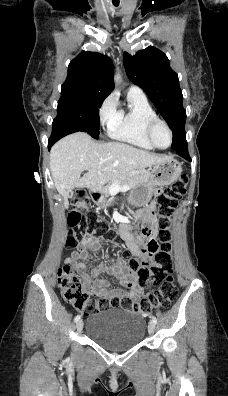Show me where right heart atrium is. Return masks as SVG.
Wrapping results in <instances>:
<instances>
[{"label": "right heart atrium", "instance_id": "obj_1", "mask_svg": "<svg viewBox=\"0 0 228 396\" xmlns=\"http://www.w3.org/2000/svg\"><path fill=\"white\" fill-rule=\"evenodd\" d=\"M118 114L117 101L114 96L109 95L104 99L99 108V120L101 125L109 126Z\"/></svg>", "mask_w": 228, "mask_h": 396}]
</instances>
